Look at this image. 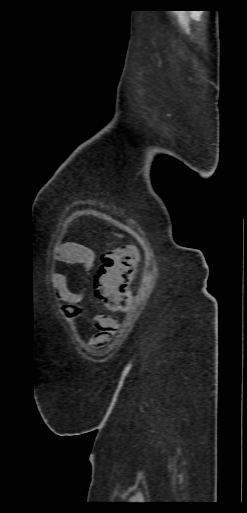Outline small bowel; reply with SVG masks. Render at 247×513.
Listing matches in <instances>:
<instances>
[{
    "label": "small bowel",
    "mask_w": 247,
    "mask_h": 513,
    "mask_svg": "<svg viewBox=\"0 0 247 513\" xmlns=\"http://www.w3.org/2000/svg\"><path fill=\"white\" fill-rule=\"evenodd\" d=\"M58 261L68 264L83 263L87 268L92 264L91 255L76 243H65L57 251ZM50 280L58 297L63 301L62 312L66 318L73 322L83 314L81 303L85 299V292L72 291L65 274L51 273ZM98 333L92 338L91 346L95 349L105 348L116 333L118 321L113 316L103 315L96 320ZM74 329L75 326L72 325Z\"/></svg>",
    "instance_id": "c3829d8e"
}]
</instances>
